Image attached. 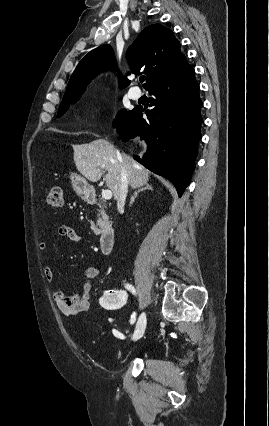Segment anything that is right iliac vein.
Listing matches in <instances>:
<instances>
[{
  "label": "right iliac vein",
  "instance_id": "63e3f726",
  "mask_svg": "<svg viewBox=\"0 0 269 426\" xmlns=\"http://www.w3.org/2000/svg\"><path fill=\"white\" fill-rule=\"evenodd\" d=\"M146 323H147L146 314L142 313L137 321L136 328L133 333L134 341H137L143 336L145 332V328H146Z\"/></svg>",
  "mask_w": 269,
  "mask_h": 426
}]
</instances>
